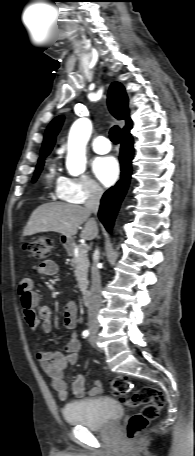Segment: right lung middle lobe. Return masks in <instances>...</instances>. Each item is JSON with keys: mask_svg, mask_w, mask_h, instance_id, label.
<instances>
[{"mask_svg": "<svg viewBox=\"0 0 195 456\" xmlns=\"http://www.w3.org/2000/svg\"><path fill=\"white\" fill-rule=\"evenodd\" d=\"M43 164H44V157L43 158H40L39 161H38V164H37V167H36V170H35V174H34V177H33V182L36 181V179L38 178L42 168H43Z\"/></svg>", "mask_w": 195, "mask_h": 456, "instance_id": "1", "label": "right lung middle lobe"}]
</instances>
